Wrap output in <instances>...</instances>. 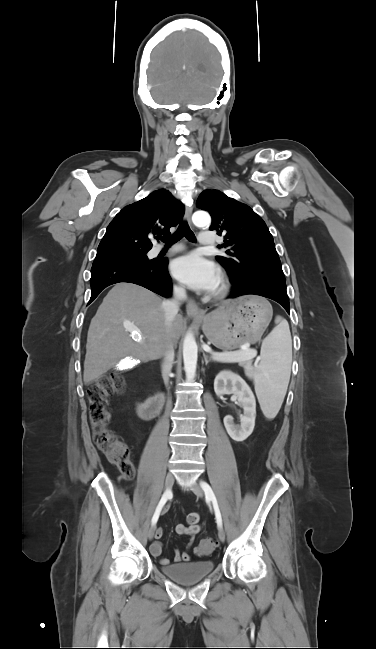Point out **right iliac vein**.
Wrapping results in <instances>:
<instances>
[{
    "label": "right iliac vein",
    "mask_w": 376,
    "mask_h": 649,
    "mask_svg": "<svg viewBox=\"0 0 376 649\" xmlns=\"http://www.w3.org/2000/svg\"><path fill=\"white\" fill-rule=\"evenodd\" d=\"M174 484V476L171 473H168L165 479V488L167 490L171 489ZM155 532V526L152 525L148 530V539L152 540Z\"/></svg>",
    "instance_id": "63e3f726"
}]
</instances>
